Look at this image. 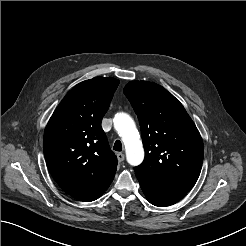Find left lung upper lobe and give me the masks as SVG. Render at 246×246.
Here are the masks:
<instances>
[{"mask_svg":"<svg viewBox=\"0 0 246 246\" xmlns=\"http://www.w3.org/2000/svg\"><path fill=\"white\" fill-rule=\"evenodd\" d=\"M124 93L138 116L145 158L135 174L189 191L202 167L200 133L182 104L162 86L131 81Z\"/></svg>","mask_w":246,"mask_h":246,"instance_id":"obj_1","label":"left lung upper lobe"}]
</instances>
